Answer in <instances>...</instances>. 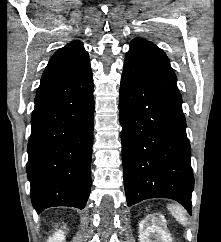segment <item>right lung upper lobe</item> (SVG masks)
<instances>
[{"label": "right lung upper lobe", "instance_id": "cb5924a9", "mask_svg": "<svg viewBox=\"0 0 221 242\" xmlns=\"http://www.w3.org/2000/svg\"><path fill=\"white\" fill-rule=\"evenodd\" d=\"M90 70L89 56L82 43L72 41L51 57L37 92L68 84Z\"/></svg>", "mask_w": 221, "mask_h": 242}]
</instances>
